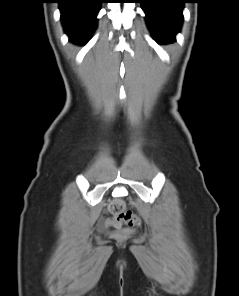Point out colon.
Wrapping results in <instances>:
<instances>
[{"label": "colon", "mask_w": 239, "mask_h": 296, "mask_svg": "<svg viewBox=\"0 0 239 296\" xmlns=\"http://www.w3.org/2000/svg\"><path fill=\"white\" fill-rule=\"evenodd\" d=\"M109 211L113 215L115 226L125 224L128 227L135 228L141 224L139 217L126 209V205L122 199H114L109 205Z\"/></svg>", "instance_id": "colon-1"}]
</instances>
